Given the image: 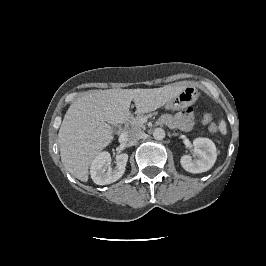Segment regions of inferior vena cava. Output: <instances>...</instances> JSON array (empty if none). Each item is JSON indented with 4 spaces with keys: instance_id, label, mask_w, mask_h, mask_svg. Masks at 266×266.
<instances>
[{
    "instance_id": "inferior-vena-cava-1",
    "label": "inferior vena cava",
    "mask_w": 266,
    "mask_h": 266,
    "mask_svg": "<svg viewBox=\"0 0 266 266\" xmlns=\"http://www.w3.org/2000/svg\"><path fill=\"white\" fill-rule=\"evenodd\" d=\"M145 133L141 130L131 129L126 132L128 141H137L144 138Z\"/></svg>"
}]
</instances>
